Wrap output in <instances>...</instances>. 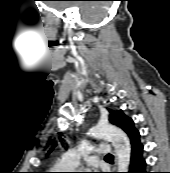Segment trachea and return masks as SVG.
Instances as JSON below:
<instances>
[{"instance_id":"1","label":"trachea","mask_w":170,"mask_h":173,"mask_svg":"<svg viewBox=\"0 0 170 173\" xmlns=\"http://www.w3.org/2000/svg\"><path fill=\"white\" fill-rule=\"evenodd\" d=\"M112 157H113V155H111V154L106 156V158H112Z\"/></svg>"}]
</instances>
